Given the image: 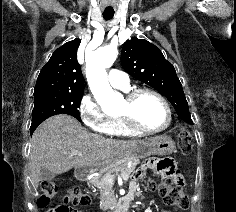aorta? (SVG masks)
<instances>
[{
    "instance_id": "762f6f07",
    "label": "aorta",
    "mask_w": 236,
    "mask_h": 212,
    "mask_svg": "<svg viewBox=\"0 0 236 212\" xmlns=\"http://www.w3.org/2000/svg\"><path fill=\"white\" fill-rule=\"evenodd\" d=\"M117 55V47L108 45L85 57L89 87L103 109L116 106L121 101V95L110 87L106 73V68L113 65Z\"/></svg>"
}]
</instances>
